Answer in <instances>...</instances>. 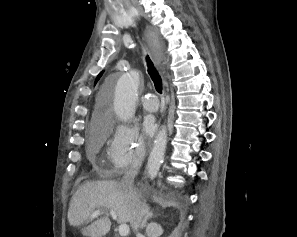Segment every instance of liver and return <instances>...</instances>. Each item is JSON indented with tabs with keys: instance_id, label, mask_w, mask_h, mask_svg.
Segmentation results:
<instances>
[{
	"instance_id": "obj_1",
	"label": "liver",
	"mask_w": 297,
	"mask_h": 237,
	"mask_svg": "<svg viewBox=\"0 0 297 237\" xmlns=\"http://www.w3.org/2000/svg\"><path fill=\"white\" fill-rule=\"evenodd\" d=\"M100 208H108L117 214L120 224L131 221L129 201L120 183L114 181L87 182L73 195L69 210L68 221L71 226H80L90 215ZM111 228L108 217L100 218L82 229L83 236L102 237Z\"/></svg>"
}]
</instances>
